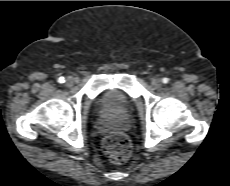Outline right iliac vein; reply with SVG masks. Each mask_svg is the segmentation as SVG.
I'll list each match as a JSON object with an SVG mask.
<instances>
[{
    "mask_svg": "<svg viewBox=\"0 0 230 186\" xmlns=\"http://www.w3.org/2000/svg\"><path fill=\"white\" fill-rule=\"evenodd\" d=\"M75 82H76V79L73 78V77H68V78L66 79V85H67V86H72Z\"/></svg>",
    "mask_w": 230,
    "mask_h": 186,
    "instance_id": "right-iliac-vein-1",
    "label": "right iliac vein"
}]
</instances>
